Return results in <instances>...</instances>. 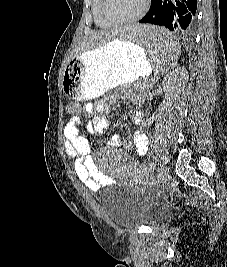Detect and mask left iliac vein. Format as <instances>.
<instances>
[{"label": "left iliac vein", "mask_w": 227, "mask_h": 267, "mask_svg": "<svg viewBox=\"0 0 227 267\" xmlns=\"http://www.w3.org/2000/svg\"><path fill=\"white\" fill-rule=\"evenodd\" d=\"M168 177V167L165 164H160L158 168L157 180L159 183L165 181Z\"/></svg>", "instance_id": "obj_1"}]
</instances>
